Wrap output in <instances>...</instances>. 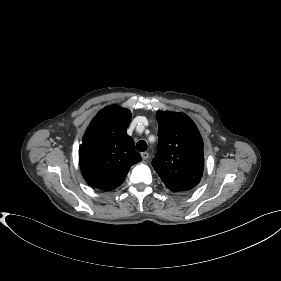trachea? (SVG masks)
Here are the masks:
<instances>
[{"label": "trachea", "mask_w": 281, "mask_h": 281, "mask_svg": "<svg viewBox=\"0 0 281 281\" xmlns=\"http://www.w3.org/2000/svg\"><path fill=\"white\" fill-rule=\"evenodd\" d=\"M136 150L139 152H144L147 150V143L144 140H140L136 144Z\"/></svg>", "instance_id": "trachea-1"}]
</instances>
